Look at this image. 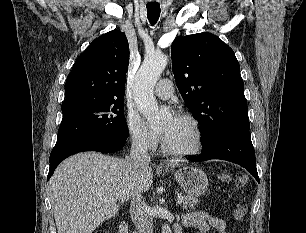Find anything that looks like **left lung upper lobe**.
I'll use <instances>...</instances> for the list:
<instances>
[{
	"label": "left lung upper lobe",
	"instance_id": "obj_1",
	"mask_svg": "<svg viewBox=\"0 0 306 233\" xmlns=\"http://www.w3.org/2000/svg\"><path fill=\"white\" fill-rule=\"evenodd\" d=\"M172 70L183 100L199 121L202 145L233 131H249L247 101L234 51L211 33L177 37Z\"/></svg>",
	"mask_w": 306,
	"mask_h": 233
}]
</instances>
